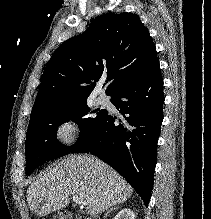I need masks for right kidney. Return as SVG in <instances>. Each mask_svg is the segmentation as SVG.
Segmentation results:
<instances>
[{"mask_svg": "<svg viewBox=\"0 0 211 219\" xmlns=\"http://www.w3.org/2000/svg\"><path fill=\"white\" fill-rule=\"evenodd\" d=\"M114 219H135V214L132 210L124 208L118 212Z\"/></svg>", "mask_w": 211, "mask_h": 219, "instance_id": "ca27d5eb", "label": "right kidney"}]
</instances>
